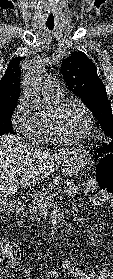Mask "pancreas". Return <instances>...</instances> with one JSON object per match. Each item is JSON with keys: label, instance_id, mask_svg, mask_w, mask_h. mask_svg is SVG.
<instances>
[{"label": "pancreas", "instance_id": "pancreas-1", "mask_svg": "<svg viewBox=\"0 0 113 279\" xmlns=\"http://www.w3.org/2000/svg\"><path fill=\"white\" fill-rule=\"evenodd\" d=\"M69 186L65 187V193L69 196H74L77 193L78 187L75 184L74 180L67 181ZM56 183H60L59 179H55L54 182L50 183L47 188H42L41 191L36 192L32 196V201L29 204V208L31 211H36L38 209H44V206L49 204V197L51 196L52 190L56 187ZM37 222H40V219H37ZM39 227L46 228V225H42Z\"/></svg>", "mask_w": 113, "mask_h": 279}]
</instances>
